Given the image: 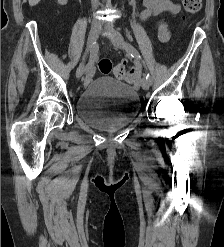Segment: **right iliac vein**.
Returning <instances> with one entry per match:
<instances>
[{"instance_id":"obj_1","label":"right iliac vein","mask_w":224,"mask_h":247,"mask_svg":"<svg viewBox=\"0 0 224 247\" xmlns=\"http://www.w3.org/2000/svg\"><path fill=\"white\" fill-rule=\"evenodd\" d=\"M101 31V26L94 24L89 32V36H88V41H87V50H91L92 46L94 45V43L96 42L99 33ZM85 61H82L81 64L79 65V67L77 68L76 71V77L80 78L84 72H85Z\"/></svg>"}]
</instances>
